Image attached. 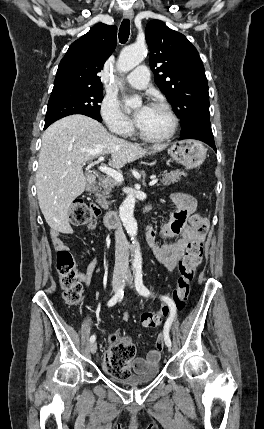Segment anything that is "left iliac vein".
<instances>
[{
  "instance_id": "obj_1",
  "label": "left iliac vein",
  "mask_w": 264,
  "mask_h": 429,
  "mask_svg": "<svg viewBox=\"0 0 264 429\" xmlns=\"http://www.w3.org/2000/svg\"><path fill=\"white\" fill-rule=\"evenodd\" d=\"M128 285H129V287H131V288H133V287H134V283H133V281H132V277H131V276H129V277H128ZM167 347H168L169 352H171V346H167Z\"/></svg>"
}]
</instances>
